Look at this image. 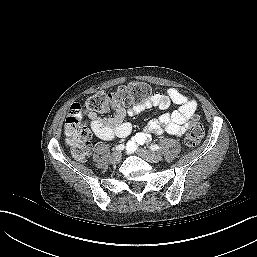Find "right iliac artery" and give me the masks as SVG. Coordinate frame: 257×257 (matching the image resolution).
<instances>
[{"label": "right iliac artery", "instance_id": "obj_1", "mask_svg": "<svg viewBox=\"0 0 257 257\" xmlns=\"http://www.w3.org/2000/svg\"><path fill=\"white\" fill-rule=\"evenodd\" d=\"M125 148L124 144H120L116 147V150H123Z\"/></svg>", "mask_w": 257, "mask_h": 257}]
</instances>
